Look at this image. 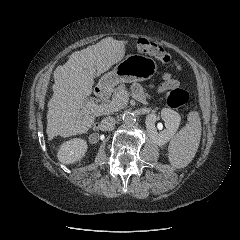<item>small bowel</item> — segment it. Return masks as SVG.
<instances>
[{
    "label": "small bowel",
    "mask_w": 240,
    "mask_h": 240,
    "mask_svg": "<svg viewBox=\"0 0 240 240\" xmlns=\"http://www.w3.org/2000/svg\"><path fill=\"white\" fill-rule=\"evenodd\" d=\"M176 66L180 68L179 63L177 62H176ZM162 79H163V83L160 85L158 89L159 92H164L166 90L174 89L179 86V82L176 79L172 78L169 74H164ZM133 92L137 97L139 98L143 97V91L139 85L135 84L133 86Z\"/></svg>",
    "instance_id": "1"
}]
</instances>
